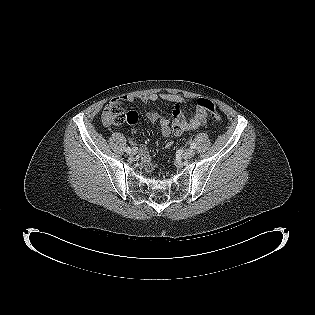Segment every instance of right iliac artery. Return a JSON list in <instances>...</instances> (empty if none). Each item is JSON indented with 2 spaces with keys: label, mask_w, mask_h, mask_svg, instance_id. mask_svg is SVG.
I'll return each instance as SVG.
<instances>
[{
  "label": "right iliac artery",
  "mask_w": 315,
  "mask_h": 315,
  "mask_svg": "<svg viewBox=\"0 0 315 315\" xmlns=\"http://www.w3.org/2000/svg\"><path fill=\"white\" fill-rule=\"evenodd\" d=\"M125 151H126L127 153H130V152H131V148H130V147H127V148L125 149Z\"/></svg>",
  "instance_id": "right-iliac-artery-1"
}]
</instances>
